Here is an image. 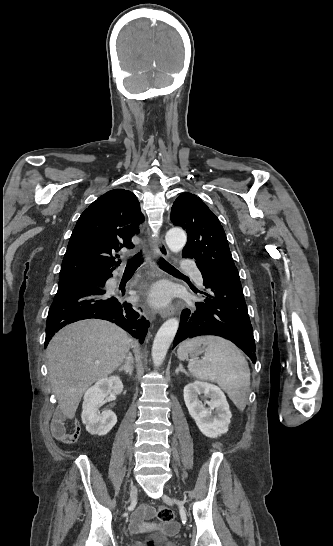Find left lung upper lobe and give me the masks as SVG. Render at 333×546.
Here are the masks:
<instances>
[{"label":"left lung upper lobe","mask_w":333,"mask_h":546,"mask_svg":"<svg viewBox=\"0 0 333 546\" xmlns=\"http://www.w3.org/2000/svg\"><path fill=\"white\" fill-rule=\"evenodd\" d=\"M171 221L187 232L183 257L193 258L217 279H239L223 227L200 198L191 193L181 194L172 206Z\"/></svg>","instance_id":"1"}]
</instances>
